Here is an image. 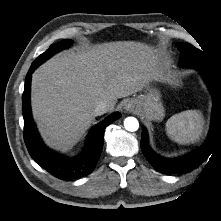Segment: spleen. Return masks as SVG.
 I'll use <instances>...</instances> for the list:
<instances>
[{"instance_id": "spleen-1", "label": "spleen", "mask_w": 221, "mask_h": 221, "mask_svg": "<svg viewBox=\"0 0 221 221\" xmlns=\"http://www.w3.org/2000/svg\"><path fill=\"white\" fill-rule=\"evenodd\" d=\"M204 119L198 110H186L171 116L166 122L169 138L179 144L195 143L203 131Z\"/></svg>"}]
</instances>
